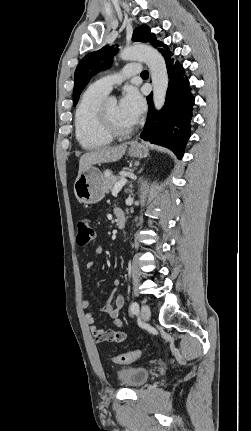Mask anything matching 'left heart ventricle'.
I'll list each match as a JSON object with an SVG mask.
<instances>
[{"label":"left heart ventricle","instance_id":"left-heart-ventricle-1","mask_svg":"<svg viewBox=\"0 0 251 431\" xmlns=\"http://www.w3.org/2000/svg\"><path fill=\"white\" fill-rule=\"evenodd\" d=\"M108 114L113 123L119 128H128L132 124L122 114L119 104L116 101H110L106 104Z\"/></svg>","mask_w":251,"mask_h":431}]
</instances>
